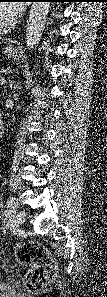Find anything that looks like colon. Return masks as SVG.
I'll use <instances>...</instances> for the list:
<instances>
[{"label": "colon", "mask_w": 107, "mask_h": 297, "mask_svg": "<svg viewBox=\"0 0 107 297\" xmlns=\"http://www.w3.org/2000/svg\"><path fill=\"white\" fill-rule=\"evenodd\" d=\"M16 257L22 264L31 267L26 277V285L30 291H38L44 287L55 274V268L46 250L36 243H26L16 249Z\"/></svg>", "instance_id": "1"}]
</instances>
